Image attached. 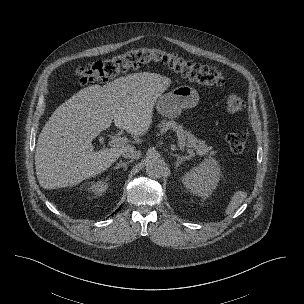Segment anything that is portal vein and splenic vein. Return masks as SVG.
Instances as JSON below:
<instances>
[{
	"label": "portal vein and splenic vein",
	"mask_w": 304,
	"mask_h": 304,
	"mask_svg": "<svg viewBox=\"0 0 304 304\" xmlns=\"http://www.w3.org/2000/svg\"><path fill=\"white\" fill-rule=\"evenodd\" d=\"M126 143H127V138H125V137H116V136H113V137L110 139V141H109V145H110V146H113V147H115V146H117V147H119V146H124ZM187 152L189 153V155H190L191 157L194 156L193 150L187 149Z\"/></svg>",
	"instance_id": "1"
}]
</instances>
